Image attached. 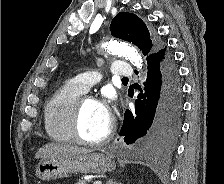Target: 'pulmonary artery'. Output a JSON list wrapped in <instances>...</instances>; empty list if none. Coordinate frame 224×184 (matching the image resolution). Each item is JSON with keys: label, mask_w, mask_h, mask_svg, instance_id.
<instances>
[{"label": "pulmonary artery", "mask_w": 224, "mask_h": 184, "mask_svg": "<svg viewBox=\"0 0 224 184\" xmlns=\"http://www.w3.org/2000/svg\"><path fill=\"white\" fill-rule=\"evenodd\" d=\"M111 72L116 77L128 78L134 75L132 67L123 61H117L112 64ZM100 76L95 71L84 72L72 78V84L82 92H87L92 86L96 85Z\"/></svg>", "instance_id": "obj_1"}]
</instances>
